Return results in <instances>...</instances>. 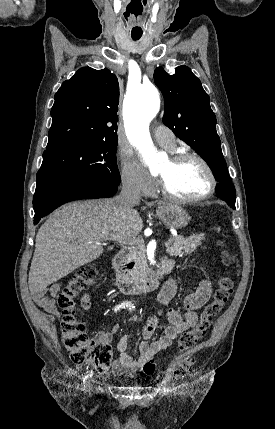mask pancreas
Here are the masks:
<instances>
[{
    "label": "pancreas",
    "instance_id": "obj_1",
    "mask_svg": "<svg viewBox=\"0 0 275 429\" xmlns=\"http://www.w3.org/2000/svg\"><path fill=\"white\" fill-rule=\"evenodd\" d=\"M205 239L204 234H193L188 238L178 236L176 239L171 238L170 246L167 247L166 252L170 256H183L192 253L202 241ZM137 247L131 252L135 261V267L130 271L131 276H138L140 272L147 269L146 250L143 241H137Z\"/></svg>",
    "mask_w": 275,
    "mask_h": 429
}]
</instances>
